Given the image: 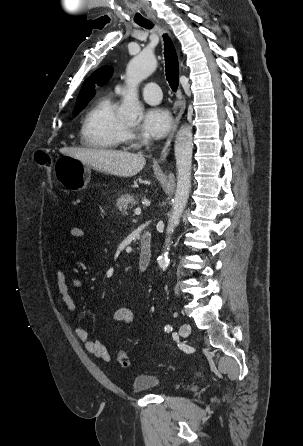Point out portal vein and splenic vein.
Instances as JSON below:
<instances>
[{"label":"portal vein and splenic vein","instance_id":"obj_1","mask_svg":"<svg viewBox=\"0 0 303 446\" xmlns=\"http://www.w3.org/2000/svg\"><path fill=\"white\" fill-rule=\"evenodd\" d=\"M134 213H135V215H140V214H141V208L137 207V208L134 210Z\"/></svg>","mask_w":303,"mask_h":446}]
</instances>
